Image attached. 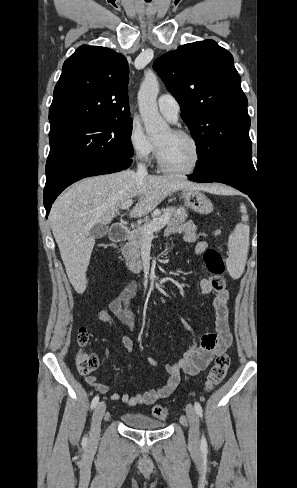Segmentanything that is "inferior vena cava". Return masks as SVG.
<instances>
[{
  "label": "inferior vena cava",
  "instance_id": "inferior-vena-cava-1",
  "mask_svg": "<svg viewBox=\"0 0 297 488\" xmlns=\"http://www.w3.org/2000/svg\"><path fill=\"white\" fill-rule=\"evenodd\" d=\"M137 174L141 177H144L148 174L147 168L144 164L140 163L137 166Z\"/></svg>",
  "mask_w": 297,
  "mask_h": 488
}]
</instances>
